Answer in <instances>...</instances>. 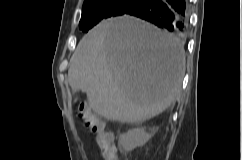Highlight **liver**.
I'll list each match as a JSON object with an SVG mask.
<instances>
[{
  "mask_svg": "<svg viewBox=\"0 0 242 160\" xmlns=\"http://www.w3.org/2000/svg\"><path fill=\"white\" fill-rule=\"evenodd\" d=\"M185 73L179 41L130 16L99 23L70 60L73 92L86 93L92 110L114 121L140 123L177 98Z\"/></svg>",
  "mask_w": 242,
  "mask_h": 160,
  "instance_id": "1",
  "label": "liver"
}]
</instances>
